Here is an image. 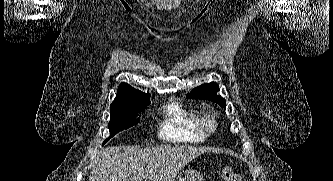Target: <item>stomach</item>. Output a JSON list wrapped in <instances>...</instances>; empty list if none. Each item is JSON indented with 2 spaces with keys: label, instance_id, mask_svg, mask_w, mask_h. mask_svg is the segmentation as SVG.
<instances>
[{
  "label": "stomach",
  "instance_id": "obj_1",
  "mask_svg": "<svg viewBox=\"0 0 333 181\" xmlns=\"http://www.w3.org/2000/svg\"><path fill=\"white\" fill-rule=\"evenodd\" d=\"M178 181H202L203 176L195 169H186L180 172Z\"/></svg>",
  "mask_w": 333,
  "mask_h": 181
}]
</instances>
